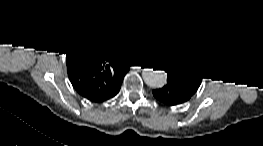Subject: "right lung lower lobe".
<instances>
[{
  "mask_svg": "<svg viewBox=\"0 0 263 146\" xmlns=\"http://www.w3.org/2000/svg\"><path fill=\"white\" fill-rule=\"evenodd\" d=\"M121 84L115 89V91L113 92L112 96H110V97H108L106 99L100 100V101H104V100H107V99H110V98L114 97L119 92ZM100 101H97V102H100Z\"/></svg>",
  "mask_w": 263,
  "mask_h": 146,
  "instance_id": "1",
  "label": "right lung lower lobe"
}]
</instances>
